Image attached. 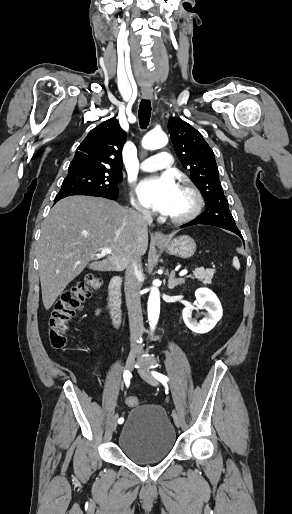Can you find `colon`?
Wrapping results in <instances>:
<instances>
[{
  "label": "colon",
  "mask_w": 292,
  "mask_h": 514,
  "mask_svg": "<svg viewBox=\"0 0 292 514\" xmlns=\"http://www.w3.org/2000/svg\"><path fill=\"white\" fill-rule=\"evenodd\" d=\"M98 282L97 276L89 274L85 280L64 291L55 303L54 312L48 322L49 340L53 349L61 350L66 346L68 328L74 312L92 291L97 289ZM125 402L131 408L139 405L138 398L134 396L126 397Z\"/></svg>",
  "instance_id": "obj_1"
}]
</instances>
